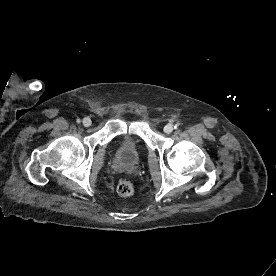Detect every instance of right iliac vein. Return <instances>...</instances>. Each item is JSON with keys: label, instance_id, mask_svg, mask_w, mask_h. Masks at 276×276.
<instances>
[{"label": "right iliac vein", "instance_id": "63e3f726", "mask_svg": "<svg viewBox=\"0 0 276 276\" xmlns=\"http://www.w3.org/2000/svg\"><path fill=\"white\" fill-rule=\"evenodd\" d=\"M82 124L85 126V127H89L91 125V119L86 117L82 120Z\"/></svg>", "mask_w": 276, "mask_h": 276}]
</instances>
